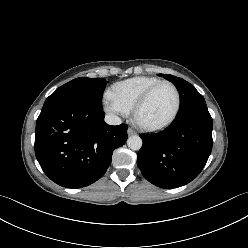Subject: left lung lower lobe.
<instances>
[{
    "mask_svg": "<svg viewBox=\"0 0 248 248\" xmlns=\"http://www.w3.org/2000/svg\"><path fill=\"white\" fill-rule=\"evenodd\" d=\"M213 121L206 103L179 114L165 131L140 135L137 164L143 176L161 188L183 186L202 171L212 150Z\"/></svg>",
    "mask_w": 248,
    "mask_h": 248,
    "instance_id": "obj_1",
    "label": "left lung lower lobe"
}]
</instances>
